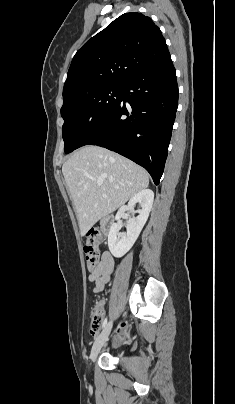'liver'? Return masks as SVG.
Wrapping results in <instances>:
<instances>
[{
	"label": "liver",
	"mask_w": 235,
	"mask_h": 404,
	"mask_svg": "<svg viewBox=\"0 0 235 404\" xmlns=\"http://www.w3.org/2000/svg\"><path fill=\"white\" fill-rule=\"evenodd\" d=\"M62 173L81 235L149 185L145 169L99 146H84L64 162Z\"/></svg>",
	"instance_id": "6515ba94"
}]
</instances>
